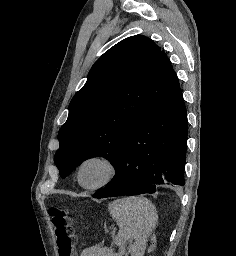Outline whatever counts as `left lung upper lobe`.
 Returning a JSON list of instances; mask_svg holds the SVG:
<instances>
[{
  "instance_id": "left-lung-upper-lobe-1",
  "label": "left lung upper lobe",
  "mask_w": 236,
  "mask_h": 256,
  "mask_svg": "<svg viewBox=\"0 0 236 256\" xmlns=\"http://www.w3.org/2000/svg\"><path fill=\"white\" fill-rule=\"evenodd\" d=\"M178 88L169 59L151 39L136 35L114 45L70 102L54 159L60 176L96 156L116 170L140 119Z\"/></svg>"
}]
</instances>
